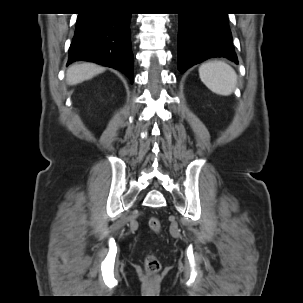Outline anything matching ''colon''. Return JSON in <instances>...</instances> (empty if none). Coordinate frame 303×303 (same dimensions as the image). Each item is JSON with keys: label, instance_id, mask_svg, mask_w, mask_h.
Returning a JSON list of instances; mask_svg holds the SVG:
<instances>
[{"label": "colon", "instance_id": "5ec220e1", "mask_svg": "<svg viewBox=\"0 0 303 303\" xmlns=\"http://www.w3.org/2000/svg\"><path fill=\"white\" fill-rule=\"evenodd\" d=\"M149 227L154 232H159L161 230V224L159 219L152 217L149 220ZM145 268L150 275H155L160 270V262L156 254L150 252L146 255L145 260Z\"/></svg>", "mask_w": 303, "mask_h": 303}]
</instances>
